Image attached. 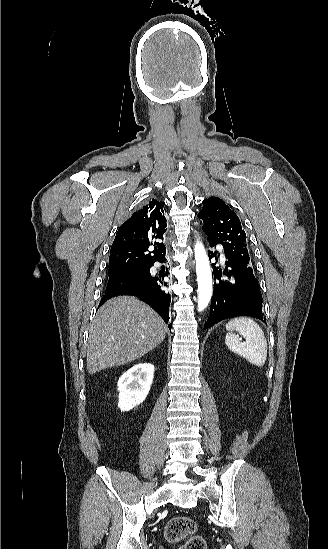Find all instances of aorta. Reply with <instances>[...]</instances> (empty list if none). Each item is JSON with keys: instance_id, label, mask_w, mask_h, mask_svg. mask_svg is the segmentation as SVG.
Listing matches in <instances>:
<instances>
[{"instance_id": "obj_1", "label": "aorta", "mask_w": 328, "mask_h": 549, "mask_svg": "<svg viewBox=\"0 0 328 549\" xmlns=\"http://www.w3.org/2000/svg\"><path fill=\"white\" fill-rule=\"evenodd\" d=\"M194 253L198 282V311H203L208 306L212 297V273L205 248L198 240L194 245Z\"/></svg>"}]
</instances>
